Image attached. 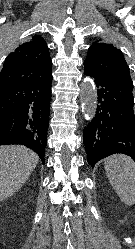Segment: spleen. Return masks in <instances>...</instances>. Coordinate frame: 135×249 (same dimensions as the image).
<instances>
[{"mask_svg":"<svg viewBox=\"0 0 135 249\" xmlns=\"http://www.w3.org/2000/svg\"><path fill=\"white\" fill-rule=\"evenodd\" d=\"M110 184L127 206L135 204V162L126 155H113L104 162Z\"/></svg>","mask_w":135,"mask_h":249,"instance_id":"1","label":"spleen"}]
</instances>
